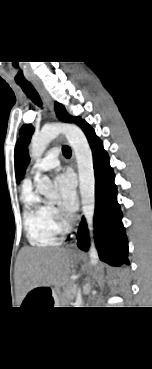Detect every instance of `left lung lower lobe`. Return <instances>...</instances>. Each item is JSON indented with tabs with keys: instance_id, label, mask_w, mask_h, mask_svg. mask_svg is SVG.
<instances>
[{
	"instance_id": "0a47b994",
	"label": "left lung lower lobe",
	"mask_w": 152,
	"mask_h": 369,
	"mask_svg": "<svg viewBox=\"0 0 152 369\" xmlns=\"http://www.w3.org/2000/svg\"><path fill=\"white\" fill-rule=\"evenodd\" d=\"M83 129L93 153L95 170V241L99 257L110 265L129 264L128 242L125 228L121 222L122 213L117 203V188L114 184L115 175L109 164V157L103 148V143L96 136L91 126L82 121ZM77 245L87 251L89 247L88 230L83 218L78 229Z\"/></svg>"
}]
</instances>
